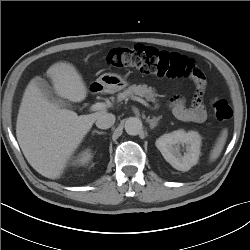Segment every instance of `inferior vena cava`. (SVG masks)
Returning <instances> with one entry per match:
<instances>
[{
  "mask_svg": "<svg viewBox=\"0 0 250 250\" xmlns=\"http://www.w3.org/2000/svg\"><path fill=\"white\" fill-rule=\"evenodd\" d=\"M115 123V116L111 113H104L96 119V126L100 129H108Z\"/></svg>",
  "mask_w": 250,
  "mask_h": 250,
  "instance_id": "602c4592",
  "label": "inferior vena cava"
}]
</instances>
